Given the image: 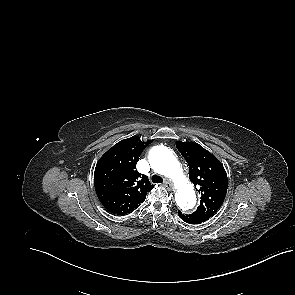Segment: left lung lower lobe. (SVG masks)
<instances>
[{"instance_id": "obj_1", "label": "left lung lower lobe", "mask_w": 295, "mask_h": 295, "mask_svg": "<svg viewBox=\"0 0 295 295\" xmlns=\"http://www.w3.org/2000/svg\"><path fill=\"white\" fill-rule=\"evenodd\" d=\"M178 215L179 217L189 223V224H200L202 222H205L206 220H208L210 217L205 216V215H200V214H182L181 212L178 211Z\"/></svg>"}]
</instances>
